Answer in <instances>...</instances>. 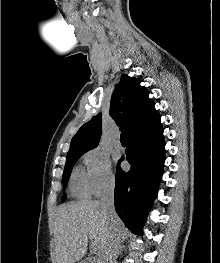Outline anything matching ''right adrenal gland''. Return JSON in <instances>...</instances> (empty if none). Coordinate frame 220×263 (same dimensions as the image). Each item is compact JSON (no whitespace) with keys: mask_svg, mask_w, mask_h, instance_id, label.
I'll return each mask as SVG.
<instances>
[{"mask_svg":"<svg viewBox=\"0 0 220 263\" xmlns=\"http://www.w3.org/2000/svg\"><path fill=\"white\" fill-rule=\"evenodd\" d=\"M123 246L120 247L118 254L121 253Z\"/></svg>","mask_w":220,"mask_h":263,"instance_id":"1","label":"right adrenal gland"}]
</instances>
